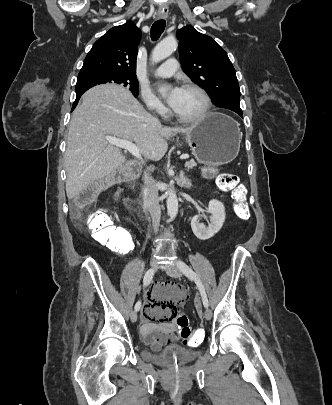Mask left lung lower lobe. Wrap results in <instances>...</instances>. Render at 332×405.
<instances>
[{
	"instance_id": "0a47b994",
	"label": "left lung lower lobe",
	"mask_w": 332,
	"mask_h": 405,
	"mask_svg": "<svg viewBox=\"0 0 332 405\" xmlns=\"http://www.w3.org/2000/svg\"><path fill=\"white\" fill-rule=\"evenodd\" d=\"M234 112H236L238 115L242 116V110L240 108V104H239V107H237Z\"/></svg>"
}]
</instances>
